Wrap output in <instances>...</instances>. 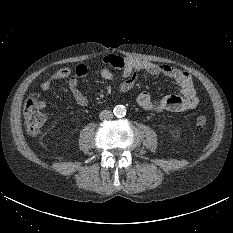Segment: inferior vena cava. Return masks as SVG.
<instances>
[{
	"label": "inferior vena cava",
	"mask_w": 233,
	"mask_h": 233,
	"mask_svg": "<svg viewBox=\"0 0 233 233\" xmlns=\"http://www.w3.org/2000/svg\"><path fill=\"white\" fill-rule=\"evenodd\" d=\"M113 117V113L110 110H103L99 114L100 120H110Z\"/></svg>",
	"instance_id": "inferior-vena-cava-1"
}]
</instances>
